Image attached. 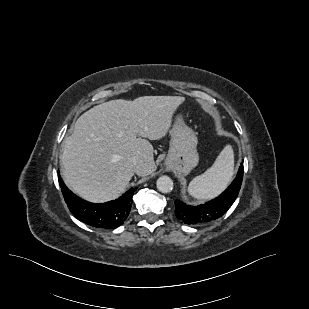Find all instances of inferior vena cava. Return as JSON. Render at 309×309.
Returning <instances> with one entry per match:
<instances>
[{
  "mask_svg": "<svg viewBox=\"0 0 309 309\" xmlns=\"http://www.w3.org/2000/svg\"><path fill=\"white\" fill-rule=\"evenodd\" d=\"M131 162L134 164L136 172H139L140 167H141V163H140L139 159L137 157H133L131 159Z\"/></svg>",
  "mask_w": 309,
  "mask_h": 309,
  "instance_id": "1",
  "label": "inferior vena cava"
}]
</instances>
